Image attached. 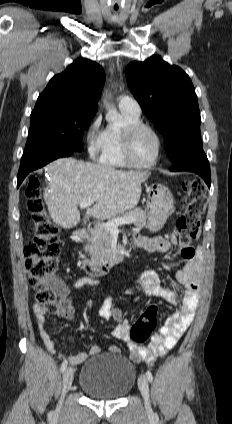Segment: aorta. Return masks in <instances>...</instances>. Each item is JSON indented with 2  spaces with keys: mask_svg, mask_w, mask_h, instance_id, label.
<instances>
[{
  "mask_svg": "<svg viewBox=\"0 0 232 424\" xmlns=\"http://www.w3.org/2000/svg\"><path fill=\"white\" fill-rule=\"evenodd\" d=\"M104 104L106 105L107 108V115H106V119L109 122H117L120 120V114L117 112L115 107L110 106L106 99L104 100Z\"/></svg>",
  "mask_w": 232,
  "mask_h": 424,
  "instance_id": "762f6f07",
  "label": "aorta"
}]
</instances>
